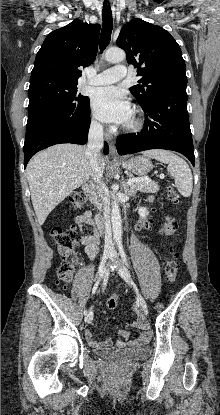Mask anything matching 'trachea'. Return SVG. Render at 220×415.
Returning <instances> with one entry per match:
<instances>
[{
  "label": "trachea",
  "mask_w": 220,
  "mask_h": 415,
  "mask_svg": "<svg viewBox=\"0 0 220 415\" xmlns=\"http://www.w3.org/2000/svg\"><path fill=\"white\" fill-rule=\"evenodd\" d=\"M102 30L100 35V50L103 51L111 40V33L113 28L112 11L110 5H103L102 10Z\"/></svg>",
  "instance_id": "1"
}]
</instances>
